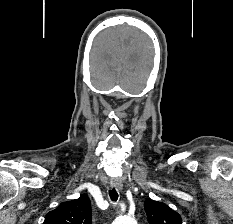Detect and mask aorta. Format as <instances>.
<instances>
[{
    "label": "aorta",
    "instance_id": "obj_1",
    "mask_svg": "<svg viewBox=\"0 0 233 224\" xmlns=\"http://www.w3.org/2000/svg\"><path fill=\"white\" fill-rule=\"evenodd\" d=\"M113 224H137V221L130 216H120L115 219Z\"/></svg>",
    "mask_w": 233,
    "mask_h": 224
}]
</instances>
